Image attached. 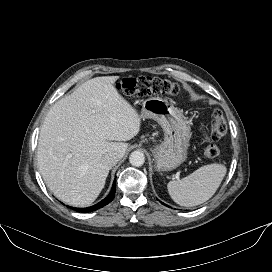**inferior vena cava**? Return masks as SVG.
Here are the masks:
<instances>
[{"label":"inferior vena cava","mask_w":272,"mask_h":272,"mask_svg":"<svg viewBox=\"0 0 272 272\" xmlns=\"http://www.w3.org/2000/svg\"><path fill=\"white\" fill-rule=\"evenodd\" d=\"M119 160L120 155L117 152L113 151L105 153V155L102 157V161L109 166L116 165Z\"/></svg>","instance_id":"obj_1"}]
</instances>
